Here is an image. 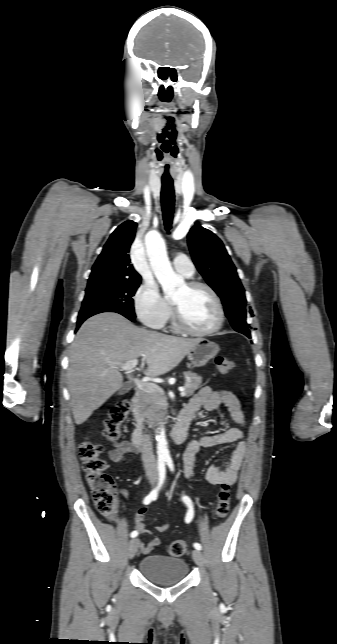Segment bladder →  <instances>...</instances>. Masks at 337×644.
Masks as SVG:
<instances>
[{
	"instance_id": "31cf9c89",
	"label": "bladder",
	"mask_w": 337,
	"mask_h": 644,
	"mask_svg": "<svg viewBox=\"0 0 337 644\" xmlns=\"http://www.w3.org/2000/svg\"><path fill=\"white\" fill-rule=\"evenodd\" d=\"M139 571L150 582L170 585L181 582L188 575V564L180 558L149 555L139 562Z\"/></svg>"
}]
</instances>
